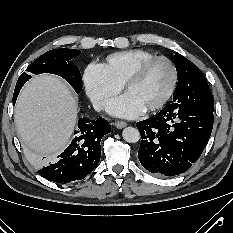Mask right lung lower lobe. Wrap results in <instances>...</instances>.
<instances>
[{"label":"right lung lower lobe","mask_w":233,"mask_h":233,"mask_svg":"<svg viewBox=\"0 0 233 233\" xmlns=\"http://www.w3.org/2000/svg\"><path fill=\"white\" fill-rule=\"evenodd\" d=\"M22 86L23 84L15 87L14 105ZM110 131V124L103 118L90 120L85 116L81 117L70 145L51 164L38 170L37 173L61 184L84 179L98 165L101 157V138Z\"/></svg>","instance_id":"98d812e1"}]
</instances>
